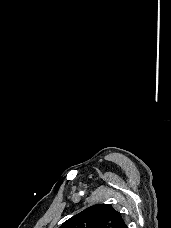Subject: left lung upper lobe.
Masks as SVG:
<instances>
[{
    "mask_svg": "<svg viewBox=\"0 0 171 228\" xmlns=\"http://www.w3.org/2000/svg\"><path fill=\"white\" fill-rule=\"evenodd\" d=\"M124 225L123 217L112 206L98 204L76 214L59 228H123Z\"/></svg>",
    "mask_w": 171,
    "mask_h": 228,
    "instance_id": "1",
    "label": "left lung upper lobe"
}]
</instances>
